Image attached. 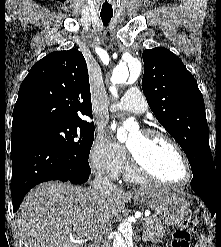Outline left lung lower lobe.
Wrapping results in <instances>:
<instances>
[{
    "label": "left lung lower lobe",
    "instance_id": "0a47b994",
    "mask_svg": "<svg viewBox=\"0 0 221 247\" xmlns=\"http://www.w3.org/2000/svg\"><path fill=\"white\" fill-rule=\"evenodd\" d=\"M191 188L204 201L212 216L221 207V168L209 165L193 175Z\"/></svg>",
    "mask_w": 221,
    "mask_h": 247
}]
</instances>
